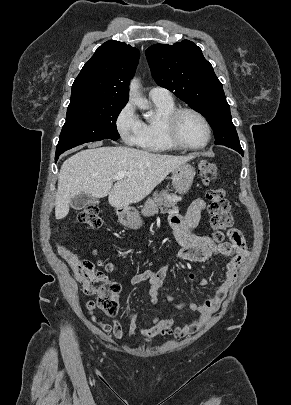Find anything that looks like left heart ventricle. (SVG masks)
Masks as SVG:
<instances>
[{
	"instance_id": "b2bd125f",
	"label": "left heart ventricle",
	"mask_w": 291,
	"mask_h": 405,
	"mask_svg": "<svg viewBox=\"0 0 291 405\" xmlns=\"http://www.w3.org/2000/svg\"><path fill=\"white\" fill-rule=\"evenodd\" d=\"M179 134L188 145H202L207 138V131L202 121L193 114H184L179 122Z\"/></svg>"
}]
</instances>
